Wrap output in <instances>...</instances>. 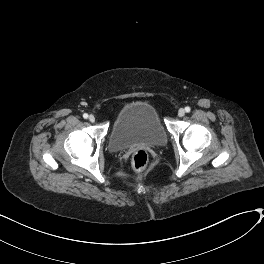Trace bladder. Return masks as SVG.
Wrapping results in <instances>:
<instances>
[{
  "instance_id": "1",
  "label": "bladder",
  "mask_w": 264,
  "mask_h": 264,
  "mask_svg": "<svg viewBox=\"0 0 264 264\" xmlns=\"http://www.w3.org/2000/svg\"><path fill=\"white\" fill-rule=\"evenodd\" d=\"M166 142V130L156 110L146 102H133L125 105L115 117L108 146L119 152L135 145L157 147Z\"/></svg>"
}]
</instances>
